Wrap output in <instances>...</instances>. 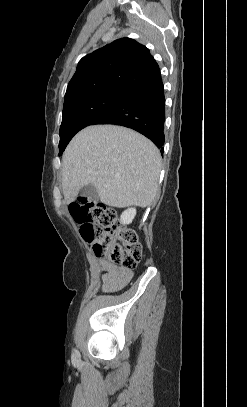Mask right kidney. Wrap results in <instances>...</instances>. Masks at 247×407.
I'll return each mask as SVG.
<instances>
[{
    "instance_id": "1",
    "label": "right kidney",
    "mask_w": 247,
    "mask_h": 407,
    "mask_svg": "<svg viewBox=\"0 0 247 407\" xmlns=\"http://www.w3.org/2000/svg\"><path fill=\"white\" fill-rule=\"evenodd\" d=\"M136 215L135 208H129L121 214L120 221L122 224H130Z\"/></svg>"
}]
</instances>
